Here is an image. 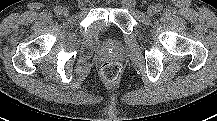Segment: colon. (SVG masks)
Instances as JSON below:
<instances>
[{"instance_id": "colon-1", "label": "colon", "mask_w": 217, "mask_h": 121, "mask_svg": "<svg viewBox=\"0 0 217 121\" xmlns=\"http://www.w3.org/2000/svg\"><path fill=\"white\" fill-rule=\"evenodd\" d=\"M100 72L106 81L112 82L120 77L122 66L117 61H108L102 64Z\"/></svg>"}]
</instances>
